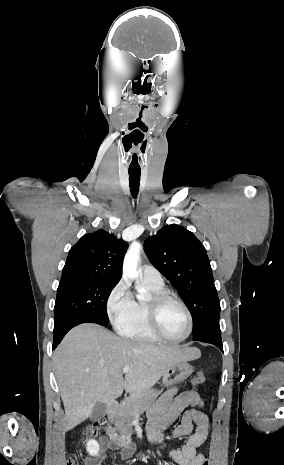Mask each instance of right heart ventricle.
I'll return each instance as SVG.
<instances>
[{
    "instance_id": "right-heart-ventricle-1",
    "label": "right heart ventricle",
    "mask_w": 284,
    "mask_h": 465,
    "mask_svg": "<svg viewBox=\"0 0 284 465\" xmlns=\"http://www.w3.org/2000/svg\"><path fill=\"white\" fill-rule=\"evenodd\" d=\"M148 288L153 294L164 292L163 284H148ZM148 313L146 302H135L130 314L119 321L117 330L119 334L128 340L142 344H158L160 343L149 331L147 327Z\"/></svg>"
}]
</instances>
